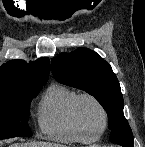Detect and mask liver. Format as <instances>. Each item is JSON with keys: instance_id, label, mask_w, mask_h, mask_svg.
Here are the masks:
<instances>
[{"instance_id": "1", "label": "liver", "mask_w": 145, "mask_h": 147, "mask_svg": "<svg viewBox=\"0 0 145 147\" xmlns=\"http://www.w3.org/2000/svg\"><path fill=\"white\" fill-rule=\"evenodd\" d=\"M11 147H64L60 144L50 142H30V143H15Z\"/></svg>"}]
</instances>
